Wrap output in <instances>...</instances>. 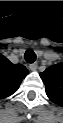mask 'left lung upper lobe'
Masks as SVG:
<instances>
[{
  "label": "left lung upper lobe",
  "mask_w": 63,
  "mask_h": 123,
  "mask_svg": "<svg viewBox=\"0 0 63 123\" xmlns=\"http://www.w3.org/2000/svg\"><path fill=\"white\" fill-rule=\"evenodd\" d=\"M40 76L46 86V94L57 105L63 104V64L48 67Z\"/></svg>",
  "instance_id": "1"
}]
</instances>
